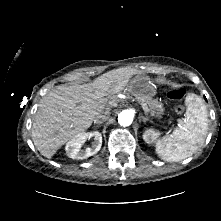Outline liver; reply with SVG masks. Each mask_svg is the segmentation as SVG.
<instances>
[{"instance_id":"1","label":"liver","mask_w":221,"mask_h":221,"mask_svg":"<svg viewBox=\"0 0 221 221\" xmlns=\"http://www.w3.org/2000/svg\"><path fill=\"white\" fill-rule=\"evenodd\" d=\"M131 76L132 72L120 68L92 83L51 90L41 99L32 124L31 136L37 150L50 159L67 141L87 130L98 113L110 109L104 96L123 90Z\"/></svg>"}]
</instances>
